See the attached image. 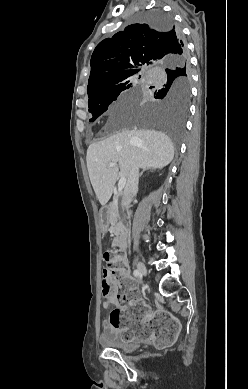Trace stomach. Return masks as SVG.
<instances>
[{"label":"stomach","mask_w":248,"mask_h":389,"mask_svg":"<svg viewBox=\"0 0 248 389\" xmlns=\"http://www.w3.org/2000/svg\"><path fill=\"white\" fill-rule=\"evenodd\" d=\"M109 209L107 207H101L100 208V213L101 215V225H102V230L101 233L103 235H106L109 231V226H108V219L110 218V215L108 214Z\"/></svg>","instance_id":"1"}]
</instances>
